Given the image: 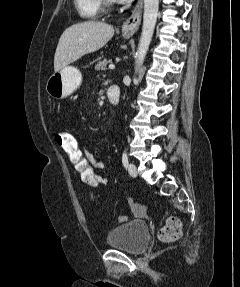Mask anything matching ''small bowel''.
I'll return each instance as SVG.
<instances>
[{
  "label": "small bowel",
  "instance_id": "1",
  "mask_svg": "<svg viewBox=\"0 0 240 287\" xmlns=\"http://www.w3.org/2000/svg\"><path fill=\"white\" fill-rule=\"evenodd\" d=\"M84 153L87 157V159L89 160V162L94 166L95 169H103L105 164L102 160H100L96 155H94L93 153H91L88 150H84ZM110 179L108 177H104V176H100L99 175V182L101 185H107L109 183ZM129 203L132 205V208L134 210L135 213H138L140 211H143V207L138 204L135 203L134 200L132 198L128 199Z\"/></svg>",
  "mask_w": 240,
  "mask_h": 287
}]
</instances>
